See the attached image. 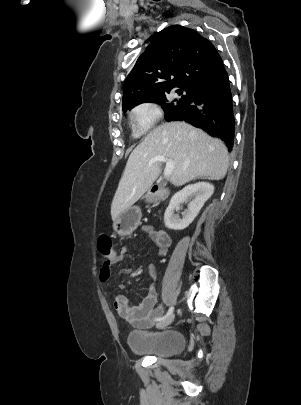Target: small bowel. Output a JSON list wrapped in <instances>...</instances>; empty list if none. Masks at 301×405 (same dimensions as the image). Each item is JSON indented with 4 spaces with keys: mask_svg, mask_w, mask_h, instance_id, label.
<instances>
[{
    "mask_svg": "<svg viewBox=\"0 0 301 405\" xmlns=\"http://www.w3.org/2000/svg\"><path fill=\"white\" fill-rule=\"evenodd\" d=\"M142 231L150 236L152 241L157 245L159 255L165 256L170 245L169 238L163 240L159 231H155L150 226H144ZM124 260V253L112 251L108 259H103V264L99 271L101 282L108 283L111 276V266L120 263ZM150 273L152 277L156 276V269L151 266ZM120 288H125L120 285ZM113 298V305L118 315L125 321L131 323L135 327L147 328L150 327L156 318L163 313V307L159 304L156 289L151 286L145 290L140 302L131 303L123 294L116 293L110 288Z\"/></svg>",
    "mask_w": 301,
    "mask_h": 405,
    "instance_id": "1",
    "label": "small bowel"
}]
</instances>
